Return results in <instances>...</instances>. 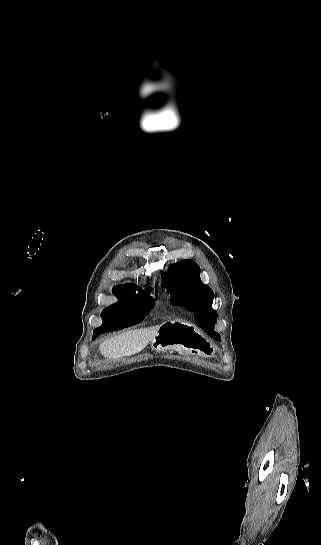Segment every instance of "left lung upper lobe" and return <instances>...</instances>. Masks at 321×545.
I'll use <instances>...</instances> for the list:
<instances>
[{"mask_svg": "<svg viewBox=\"0 0 321 545\" xmlns=\"http://www.w3.org/2000/svg\"><path fill=\"white\" fill-rule=\"evenodd\" d=\"M162 286L170 293L173 304L185 305L195 312V322L208 334H214L217 312L211 307L214 293L200 279L199 266L192 260L171 265L162 276Z\"/></svg>", "mask_w": 321, "mask_h": 545, "instance_id": "5c2ea615", "label": "left lung upper lobe"}]
</instances>
